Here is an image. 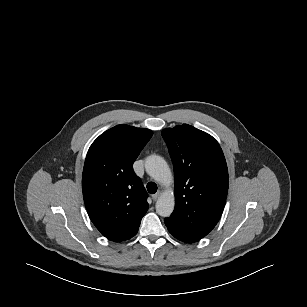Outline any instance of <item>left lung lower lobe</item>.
Segmentation results:
<instances>
[{
    "label": "left lung lower lobe",
    "instance_id": "0a47b994",
    "mask_svg": "<svg viewBox=\"0 0 307 307\" xmlns=\"http://www.w3.org/2000/svg\"><path fill=\"white\" fill-rule=\"evenodd\" d=\"M165 224L169 230V232L178 240H181L186 243H193L198 241L200 238L193 236L185 231H183L181 228H179L177 225H175L171 220L166 218Z\"/></svg>",
    "mask_w": 307,
    "mask_h": 307
}]
</instances>
